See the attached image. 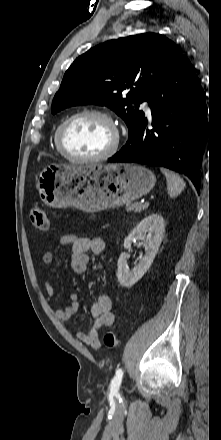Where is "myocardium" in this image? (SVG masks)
Wrapping results in <instances>:
<instances>
[{"label": "myocardium", "mask_w": 221, "mask_h": 440, "mask_svg": "<svg viewBox=\"0 0 221 440\" xmlns=\"http://www.w3.org/2000/svg\"><path fill=\"white\" fill-rule=\"evenodd\" d=\"M83 116L101 117L104 120H106L112 128V131H113L112 144L110 145V147L106 151H104L103 153H101L97 156L76 157V156H73L70 153H68L65 148L64 133H65L66 127L73 120L80 118V117H83ZM119 143H120V132H119V129H118L114 119L112 118V116L109 113H107L103 110H99V109H92V108L91 109H83V110H80V111L70 115L64 121L61 122V124L58 126L57 132H56V144H57L58 151L60 152V154L63 157H65L67 160L74 162V163H94V162L104 161V160L112 157L117 152L118 147H119Z\"/></svg>", "instance_id": "obj_1"}]
</instances>
